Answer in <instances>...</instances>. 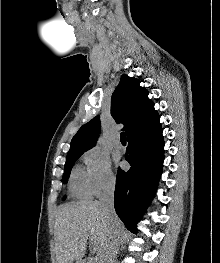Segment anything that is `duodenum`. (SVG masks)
Returning a JSON list of instances; mask_svg holds the SVG:
<instances>
[{
  "instance_id": "obj_1",
  "label": "duodenum",
  "mask_w": 220,
  "mask_h": 263,
  "mask_svg": "<svg viewBox=\"0 0 220 263\" xmlns=\"http://www.w3.org/2000/svg\"><path fill=\"white\" fill-rule=\"evenodd\" d=\"M80 263H87V262L83 260V261H81Z\"/></svg>"
}]
</instances>
